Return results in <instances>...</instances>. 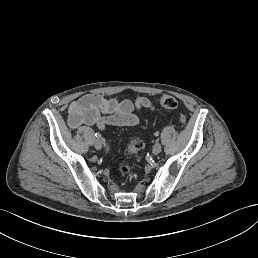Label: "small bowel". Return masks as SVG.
Wrapping results in <instances>:
<instances>
[{
    "instance_id": "small-bowel-1",
    "label": "small bowel",
    "mask_w": 258,
    "mask_h": 258,
    "mask_svg": "<svg viewBox=\"0 0 258 258\" xmlns=\"http://www.w3.org/2000/svg\"><path fill=\"white\" fill-rule=\"evenodd\" d=\"M154 110L152 102L146 97L135 101L106 98L99 94H87L73 101L68 109V124L71 129L81 125L95 126L104 130L106 126H136L137 111Z\"/></svg>"
}]
</instances>
